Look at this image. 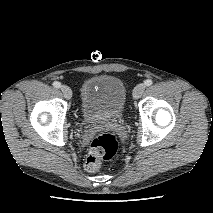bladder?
Segmentation results:
<instances>
[{
    "label": "bladder",
    "instance_id": "obj_1",
    "mask_svg": "<svg viewBox=\"0 0 213 213\" xmlns=\"http://www.w3.org/2000/svg\"><path fill=\"white\" fill-rule=\"evenodd\" d=\"M125 101L126 87L118 77L97 75L82 83L80 110L88 123L104 124L118 120Z\"/></svg>",
    "mask_w": 213,
    "mask_h": 213
}]
</instances>
